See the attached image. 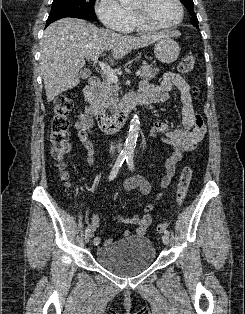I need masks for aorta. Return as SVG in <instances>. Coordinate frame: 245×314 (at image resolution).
<instances>
[{
	"mask_svg": "<svg viewBox=\"0 0 245 314\" xmlns=\"http://www.w3.org/2000/svg\"><path fill=\"white\" fill-rule=\"evenodd\" d=\"M121 3L126 2L127 0H119ZM140 129V121L137 115H134L133 119L130 122L129 132L127 134L126 142L124 144L123 153L125 155H132L136 147V141L138 138V133Z\"/></svg>",
	"mask_w": 245,
	"mask_h": 314,
	"instance_id": "aorta-1",
	"label": "aorta"
}]
</instances>
